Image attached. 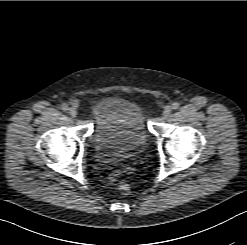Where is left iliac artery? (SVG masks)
Masks as SVG:
<instances>
[{"mask_svg": "<svg viewBox=\"0 0 247 245\" xmlns=\"http://www.w3.org/2000/svg\"><path fill=\"white\" fill-rule=\"evenodd\" d=\"M179 106H180V104H179L178 102H174V103L172 104V109L176 110V109L179 108Z\"/></svg>", "mask_w": 247, "mask_h": 245, "instance_id": "left-iliac-artery-1", "label": "left iliac artery"}]
</instances>
